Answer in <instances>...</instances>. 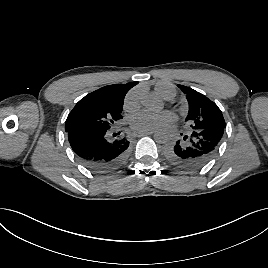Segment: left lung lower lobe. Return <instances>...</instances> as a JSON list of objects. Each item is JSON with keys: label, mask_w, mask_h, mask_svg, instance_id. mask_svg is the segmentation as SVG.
<instances>
[{"label": "left lung lower lobe", "mask_w": 268, "mask_h": 268, "mask_svg": "<svg viewBox=\"0 0 268 268\" xmlns=\"http://www.w3.org/2000/svg\"><path fill=\"white\" fill-rule=\"evenodd\" d=\"M224 128L215 130L192 131L189 137L186 136L181 142H176L171 151L170 159L183 169H196L208 163L217 152Z\"/></svg>", "instance_id": "1"}]
</instances>
